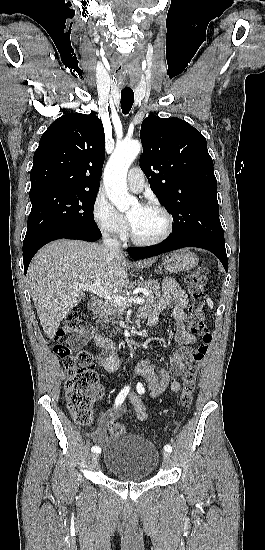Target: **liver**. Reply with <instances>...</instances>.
<instances>
[{
	"mask_svg": "<svg viewBox=\"0 0 265 550\" xmlns=\"http://www.w3.org/2000/svg\"><path fill=\"white\" fill-rule=\"evenodd\" d=\"M154 259L135 267H149ZM131 264L123 254L112 255L105 246L60 239L43 247L33 258L27 278L31 296L45 334L53 338L61 321L84 298L77 284L100 282L107 291L129 284Z\"/></svg>",
	"mask_w": 265,
	"mask_h": 550,
	"instance_id": "liver-1",
	"label": "liver"
}]
</instances>
